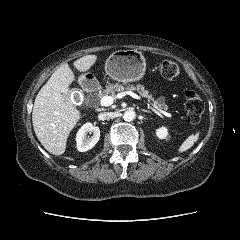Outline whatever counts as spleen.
Returning a JSON list of instances; mask_svg holds the SVG:
<instances>
[{
	"instance_id": "spleen-1",
	"label": "spleen",
	"mask_w": 240,
	"mask_h": 240,
	"mask_svg": "<svg viewBox=\"0 0 240 240\" xmlns=\"http://www.w3.org/2000/svg\"><path fill=\"white\" fill-rule=\"evenodd\" d=\"M199 136L200 132L189 135L178 148V152L183 153L189 150L198 141Z\"/></svg>"
}]
</instances>
